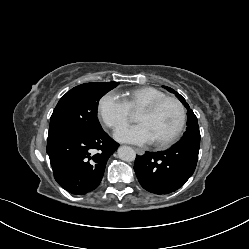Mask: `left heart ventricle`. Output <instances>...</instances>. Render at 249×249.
<instances>
[{"label": "left heart ventricle", "instance_id": "left-heart-ventricle-1", "mask_svg": "<svg viewBox=\"0 0 249 249\" xmlns=\"http://www.w3.org/2000/svg\"><path fill=\"white\" fill-rule=\"evenodd\" d=\"M136 120L147 126L153 141H160L169 137L177 128L180 110L175 102L167 101L152 113L138 112Z\"/></svg>", "mask_w": 249, "mask_h": 249}]
</instances>
